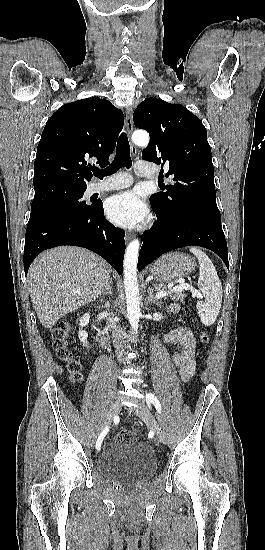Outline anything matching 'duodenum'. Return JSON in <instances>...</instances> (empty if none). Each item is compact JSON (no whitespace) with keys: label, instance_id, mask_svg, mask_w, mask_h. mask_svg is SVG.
Listing matches in <instances>:
<instances>
[{"label":"duodenum","instance_id":"obj_1","mask_svg":"<svg viewBox=\"0 0 265 550\" xmlns=\"http://www.w3.org/2000/svg\"><path fill=\"white\" fill-rule=\"evenodd\" d=\"M93 328L97 334V339L98 341L102 344V345H105L106 343V333L105 331L103 330V328L101 327V324L99 321L97 320H94L93 321Z\"/></svg>","mask_w":265,"mask_h":550}]
</instances>
